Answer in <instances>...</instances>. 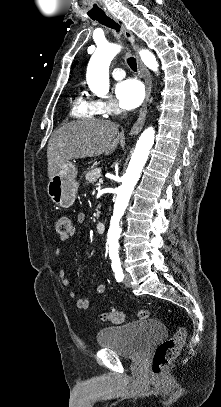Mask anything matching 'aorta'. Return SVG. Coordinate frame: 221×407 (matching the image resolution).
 I'll use <instances>...</instances> for the list:
<instances>
[{
	"label": "aorta",
	"instance_id": "762f6f07",
	"mask_svg": "<svg viewBox=\"0 0 221 407\" xmlns=\"http://www.w3.org/2000/svg\"><path fill=\"white\" fill-rule=\"evenodd\" d=\"M117 44L104 43L97 47L92 55L87 68V83L90 90L98 95L105 96L109 91V66L113 58L120 52ZM143 63L151 70L158 71L155 56L148 50L139 52ZM155 130L148 127L139 137L132 154L130 163L123 176L122 184L117 190L113 215L107 234L109 256L112 261L119 260V238L121 234L120 220L128 206L133 189L137 184L142 169L147 161L149 151L154 144Z\"/></svg>",
	"mask_w": 221,
	"mask_h": 407
}]
</instances>
